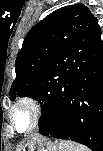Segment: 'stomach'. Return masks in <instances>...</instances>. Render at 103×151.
<instances>
[{
  "label": "stomach",
  "mask_w": 103,
  "mask_h": 151,
  "mask_svg": "<svg viewBox=\"0 0 103 151\" xmlns=\"http://www.w3.org/2000/svg\"><path fill=\"white\" fill-rule=\"evenodd\" d=\"M23 151H59V146L46 138H36L30 141Z\"/></svg>",
  "instance_id": "0dacf381"
}]
</instances>
